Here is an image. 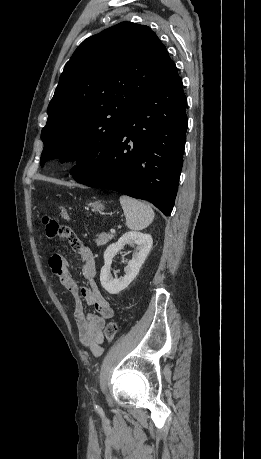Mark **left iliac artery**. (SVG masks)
Returning a JSON list of instances; mask_svg holds the SVG:
<instances>
[{"instance_id": "left-iliac-artery-1", "label": "left iliac artery", "mask_w": 261, "mask_h": 459, "mask_svg": "<svg viewBox=\"0 0 261 459\" xmlns=\"http://www.w3.org/2000/svg\"><path fill=\"white\" fill-rule=\"evenodd\" d=\"M95 408H98V406H97V405H95Z\"/></svg>"}]
</instances>
